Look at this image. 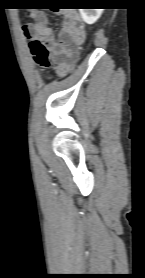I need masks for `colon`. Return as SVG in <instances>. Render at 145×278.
I'll list each match as a JSON object with an SVG mask.
<instances>
[{
  "label": "colon",
  "instance_id": "colon-1",
  "mask_svg": "<svg viewBox=\"0 0 145 278\" xmlns=\"http://www.w3.org/2000/svg\"><path fill=\"white\" fill-rule=\"evenodd\" d=\"M29 45L33 57L42 70H47L50 66L49 50L41 38H30Z\"/></svg>",
  "mask_w": 145,
  "mask_h": 278
}]
</instances>
